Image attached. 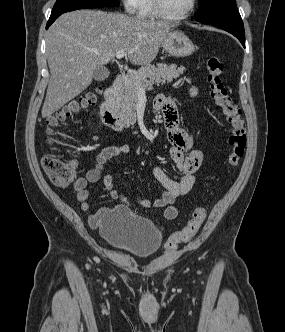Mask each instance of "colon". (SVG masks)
<instances>
[{
    "label": "colon",
    "instance_id": "colon-1",
    "mask_svg": "<svg viewBox=\"0 0 285 332\" xmlns=\"http://www.w3.org/2000/svg\"><path fill=\"white\" fill-rule=\"evenodd\" d=\"M223 70L224 64L218 57L212 56L206 61L210 96L230 126V135L228 138L229 150L226 162L228 166L234 168L238 166L245 152L247 141L246 130L242 112L233 101L222 81L221 75ZM96 98V93H87L78 99L70 101L61 110L49 116L46 120L48 133L51 134L61 123L94 105ZM41 164L50 181L58 187H68L77 178V168L72 161H64L55 156H45L42 158ZM206 216V207L203 205L197 206L186 225L169 236L165 244L166 250L172 252L176 250L180 243L190 241L199 232Z\"/></svg>",
    "mask_w": 285,
    "mask_h": 332
}]
</instances>
